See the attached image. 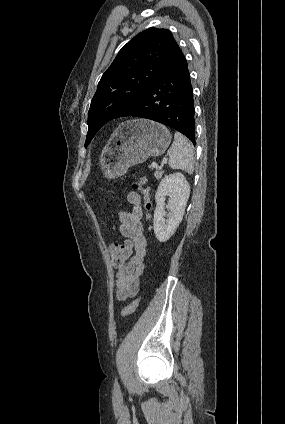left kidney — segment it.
Segmentation results:
<instances>
[{"label":"left kidney","instance_id":"obj_1","mask_svg":"<svg viewBox=\"0 0 285 424\" xmlns=\"http://www.w3.org/2000/svg\"><path fill=\"white\" fill-rule=\"evenodd\" d=\"M190 195V185L182 173L165 176L156 191L154 211V233L158 241L166 242L175 233L182 221ZM169 196L168 219L165 220V197Z\"/></svg>","mask_w":285,"mask_h":424}]
</instances>
